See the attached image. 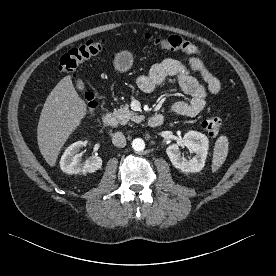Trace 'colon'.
Masks as SVG:
<instances>
[{"label":"colon","instance_id":"5ec220e1","mask_svg":"<svg viewBox=\"0 0 276 276\" xmlns=\"http://www.w3.org/2000/svg\"><path fill=\"white\" fill-rule=\"evenodd\" d=\"M143 38L162 50L179 51L192 56H199L202 54L201 50L196 45L178 35L156 37L151 33H145ZM103 48L104 41L90 40L79 47L69 50L59 61L60 72H75L80 63L97 56L103 51ZM83 98L88 110H92L96 106L95 96L92 92L85 91L83 93ZM202 127L210 136L214 137L221 132L224 127V121L221 117L213 115L203 120Z\"/></svg>","mask_w":276,"mask_h":276}]
</instances>
